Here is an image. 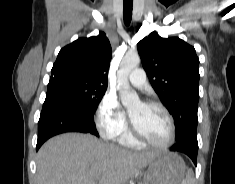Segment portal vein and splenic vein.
<instances>
[{"label":"portal vein and splenic vein","instance_id":"1","mask_svg":"<svg viewBox=\"0 0 235 184\" xmlns=\"http://www.w3.org/2000/svg\"><path fill=\"white\" fill-rule=\"evenodd\" d=\"M91 184H96V182H91ZM99 184H100V182H99Z\"/></svg>","mask_w":235,"mask_h":184}]
</instances>
